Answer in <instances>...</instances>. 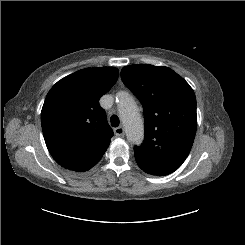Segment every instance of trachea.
<instances>
[{
    "instance_id": "3493384b",
    "label": "trachea",
    "mask_w": 245,
    "mask_h": 245,
    "mask_svg": "<svg viewBox=\"0 0 245 245\" xmlns=\"http://www.w3.org/2000/svg\"><path fill=\"white\" fill-rule=\"evenodd\" d=\"M110 121H111V125L113 127H118L119 126L120 120H119L118 116L112 115L111 118H110Z\"/></svg>"
}]
</instances>
